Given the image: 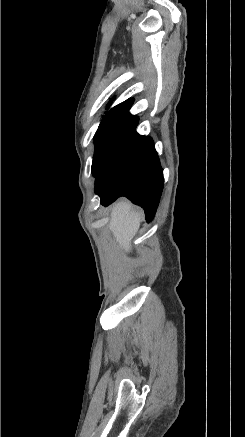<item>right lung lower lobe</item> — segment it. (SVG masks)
<instances>
[{
	"instance_id": "obj_1",
	"label": "right lung lower lobe",
	"mask_w": 245,
	"mask_h": 437,
	"mask_svg": "<svg viewBox=\"0 0 245 437\" xmlns=\"http://www.w3.org/2000/svg\"><path fill=\"white\" fill-rule=\"evenodd\" d=\"M95 193L108 206L124 196L144 209L147 221L156 213L163 190V170L150 137L130 131L97 172Z\"/></svg>"
}]
</instances>
